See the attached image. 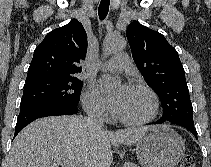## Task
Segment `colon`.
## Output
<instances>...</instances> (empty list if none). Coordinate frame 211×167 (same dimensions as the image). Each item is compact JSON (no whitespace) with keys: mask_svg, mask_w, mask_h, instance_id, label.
Returning a JSON list of instances; mask_svg holds the SVG:
<instances>
[{"mask_svg":"<svg viewBox=\"0 0 211 167\" xmlns=\"http://www.w3.org/2000/svg\"><path fill=\"white\" fill-rule=\"evenodd\" d=\"M180 167H196L194 158L192 156L185 157L182 160Z\"/></svg>","mask_w":211,"mask_h":167,"instance_id":"1","label":"colon"}]
</instances>
